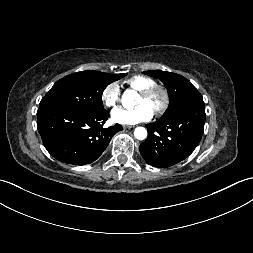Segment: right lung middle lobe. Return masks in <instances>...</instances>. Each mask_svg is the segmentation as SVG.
<instances>
[{"mask_svg": "<svg viewBox=\"0 0 253 253\" xmlns=\"http://www.w3.org/2000/svg\"><path fill=\"white\" fill-rule=\"evenodd\" d=\"M126 74L82 71L58 80L40 102V107H58L89 113L104 111L102 93L112 82Z\"/></svg>", "mask_w": 253, "mask_h": 253, "instance_id": "dd1d6c3e", "label": "right lung middle lobe"}]
</instances>
